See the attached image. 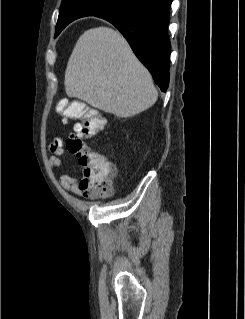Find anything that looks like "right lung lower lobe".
<instances>
[{"mask_svg": "<svg viewBox=\"0 0 245 319\" xmlns=\"http://www.w3.org/2000/svg\"><path fill=\"white\" fill-rule=\"evenodd\" d=\"M171 3L172 0H125L95 15L117 27L164 92L169 84L171 44L167 27Z\"/></svg>", "mask_w": 245, "mask_h": 319, "instance_id": "obj_1", "label": "right lung lower lobe"}]
</instances>
